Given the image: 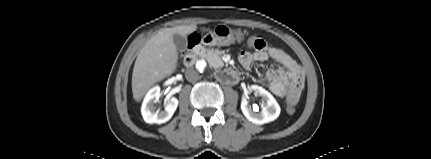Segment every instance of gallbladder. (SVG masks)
Listing matches in <instances>:
<instances>
[{"mask_svg":"<svg viewBox=\"0 0 431 159\" xmlns=\"http://www.w3.org/2000/svg\"><path fill=\"white\" fill-rule=\"evenodd\" d=\"M173 41L178 51L184 52L187 49V40L184 36L174 34Z\"/></svg>","mask_w":431,"mask_h":159,"instance_id":"gallbladder-1","label":"gallbladder"}]
</instances>
